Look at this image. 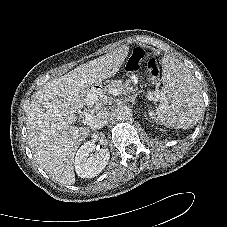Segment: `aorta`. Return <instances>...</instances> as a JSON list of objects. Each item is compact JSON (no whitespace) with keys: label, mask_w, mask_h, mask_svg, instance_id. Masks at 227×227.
I'll list each match as a JSON object with an SVG mask.
<instances>
[{"label":"aorta","mask_w":227,"mask_h":227,"mask_svg":"<svg viewBox=\"0 0 227 227\" xmlns=\"http://www.w3.org/2000/svg\"><path fill=\"white\" fill-rule=\"evenodd\" d=\"M114 116L116 119L124 121L128 120L131 116V109L127 106H118L114 109Z\"/></svg>","instance_id":"obj_1"}]
</instances>
